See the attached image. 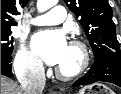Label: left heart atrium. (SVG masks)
Wrapping results in <instances>:
<instances>
[{
	"instance_id": "1",
	"label": "left heart atrium",
	"mask_w": 121,
	"mask_h": 94,
	"mask_svg": "<svg viewBox=\"0 0 121 94\" xmlns=\"http://www.w3.org/2000/svg\"><path fill=\"white\" fill-rule=\"evenodd\" d=\"M33 48L37 55L49 65H58L64 58L68 44L63 33L43 31L33 38Z\"/></svg>"
}]
</instances>
